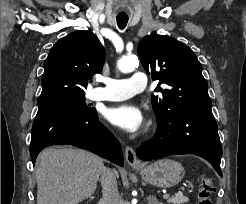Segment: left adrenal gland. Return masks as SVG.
Returning a JSON list of instances; mask_svg holds the SVG:
<instances>
[{
  "mask_svg": "<svg viewBox=\"0 0 246 204\" xmlns=\"http://www.w3.org/2000/svg\"><path fill=\"white\" fill-rule=\"evenodd\" d=\"M148 204H163V203L158 202L155 197H149L148 198Z\"/></svg>",
  "mask_w": 246,
  "mask_h": 204,
  "instance_id": "1",
  "label": "left adrenal gland"
}]
</instances>
